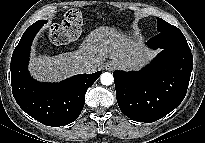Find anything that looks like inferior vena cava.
<instances>
[{
    "instance_id": "obj_1",
    "label": "inferior vena cava",
    "mask_w": 205,
    "mask_h": 143,
    "mask_svg": "<svg viewBox=\"0 0 205 143\" xmlns=\"http://www.w3.org/2000/svg\"><path fill=\"white\" fill-rule=\"evenodd\" d=\"M82 73H93L96 71V66L91 61H84L81 65Z\"/></svg>"
}]
</instances>
